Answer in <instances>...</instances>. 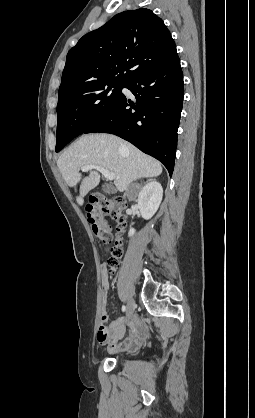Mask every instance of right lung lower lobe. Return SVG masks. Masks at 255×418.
Wrapping results in <instances>:
<instances>
[{"mask_svg": "<svg viewBox=\"0 0 255 418\" xmlns=\"http://www.w3.org/2000/svg\"><path fill=\"white\" fill-rule=\"evenodd\" d=\"M136 104L121 95L112 110L84 133L115 134L153 156L172 175L184 83L180 59L152 67L126 85Z\"/></svg>", "mask_w": 255, "mask_h": 418, "instance_id": "right-lung-lower-lobe-1", "label": "right lung lower lobe"}]
</instances>
